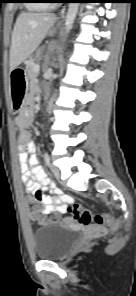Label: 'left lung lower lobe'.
Listing matches in <instances>:
<instances>
[{
  "instance_id": "0a47b994",
  "label": "left lung lower lobe",
  "mask_w": 136,
  "mask_h": 296,
  "mask_svg": "<svg viewBox=\"0 0 136 296\" xmlns=\"http://www.w3.org/2000/svg\"><path fill=\"white\" fill-rule=\"evenodd\" d=\"M70 1H67V2H70ZM72 1L82 2V3H91V2H93V0H72Z\"/></svg>"
}]
</instances>
